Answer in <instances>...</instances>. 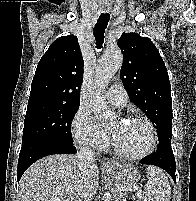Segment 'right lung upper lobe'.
<instances>
[{
  "instance_id": "cb5924a9",
  "label": "right lung upper lobe",
  "mask_w": 196,
  "mask_h": 201,
  "mask_svg": "<svg viewBox=\"0 0 196 201\" xmlns=\"http://www.w3.org/2000/svg\"><path fill=\"white\" fill-rule=\"evenodd\" d=\"M83 65L76 36H62L56 39L38 63L29 101L80 103Z\"/></svg>"
}]
</instances>
